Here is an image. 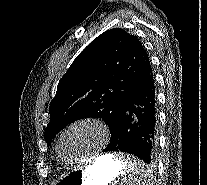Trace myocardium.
Returning <instances> with one entry per match:
<instances>
[{
    "label": "myocardium",
    "instance_id": "myocardium-1",
    "mask_svg": "<svg viewBox=\"0 0 207 185\" xmlns=\"http://www.w3.org/2000/svg\"><path fill=\"white\" fill-rule=\"evenodd\" d=\"M80 124H93L95 125L102 133V135L104 136V138H108L110 136V129L108 128V126L100 119L98 118H94V117H85V118H80L77 119L75 121H73L72 123H70L61 133L58 143H57V150H58V155L60 156V158L69 163V164H80L88 159H92L95 157H98L100 155V150L90 153L89 155L80 158V159H69L63 152L62 149V142L63 139L65 137V135L74 127L80 125Z\"/></svg>",
    "mask_w": 207,
    "mask_h": 185
}]
</instances>
